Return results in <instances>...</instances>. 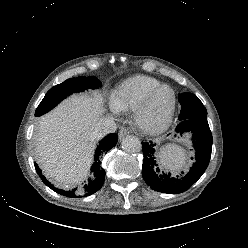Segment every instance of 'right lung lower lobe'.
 Returning a JSON list of instances; mask_svg holds the SVG:
<instances>
[{
    "label": "right lung lower lobe",
    "mask_w": 248,
    "mask_h": 248,
    "mask_svg": "<svg viewBox=\"0 0 248 248\" xmlns=\"http://www.w3.org/2000/svg\"><path fill=\"white\" fill-rule=\"evenodd\" d=\"M118 141V136L115 133L108 134L103 140H101L99 146L96 149L95 156H94V164L91 167L92 176L88 179V182L84 184L82 190L77 194L75 193V189L72 191H63L60 189L55 188L53 185L50 184L49 181L45 179L42 175L41 170L39 169L38 165L35 163L36 171L42 181L52 190L55 192L67 196V197H86L89 196L96 191H98L104 183L105 179V170L100 166V159L104 153L109 151L113 148Z\"/></svg>",
    "instance_id": "98d812e1"
}]
</instances>
